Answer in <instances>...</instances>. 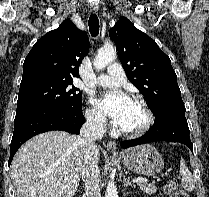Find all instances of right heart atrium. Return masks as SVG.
<instances>
[{"label": "right heart atrium", "instance_id": "1", "mask_svg": "<svg viewBox=\"0 0 209 197\" xmlns=\"http://www.w3.org/2000/svg\"><path fill=\"white\" fill-rule=\"evenodd\" d=\"M88 124L97 130H103L106 127V119L103 114L94 106L89 105L85 111Z\"/></svg>", "mask_w": 209, "mask_h": 197}]
</instances>
